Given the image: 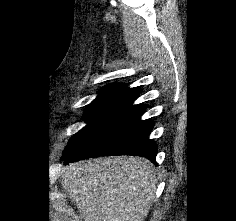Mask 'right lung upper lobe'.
<instances>
[{"instance_id":"obj_1","label":"right lung upper lobe","mask_w":236,"mask_h":221,"mask_svg":"<svg viewBox=\"0 0 236 221\" xmlns=\"http://www.w3.org/2000/svg\"><path fill=\"white\" fill-rule=\"evenodd\" d=\"M140 90L138 88H128L126 84L115 83L112 85L105 86L100 95L104 94H118V93H129L134 95H139Z\"/></svg>"}]
</instances>
